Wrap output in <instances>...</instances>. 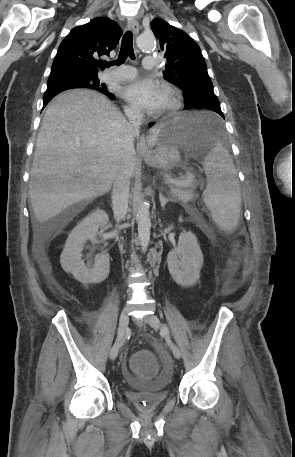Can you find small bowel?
<instances>
[{
	"label": "small bowel",
	"mask_w": 295,
	"mask_h": 457,
	"mask_svg": "<svg viewBox=\"0 0 295 457\" xmlns=\"http://www.w3.org/2000/svg\"><path fill=\"white\" fill-rule=\"evenodd\" d=\"M227 289H228V292H233V291L236 290V285H235L234 283H230V284L228 285V288H227Z\"/></svg>",
	"instance_id": "c3829d8e"
}]
</instances>
